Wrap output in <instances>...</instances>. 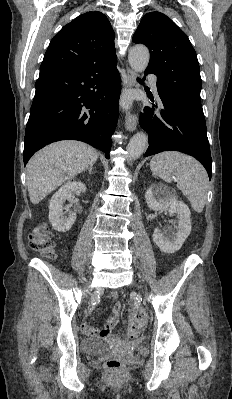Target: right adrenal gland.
Wrapping results in <instances>:
<instances>
[{"label": "right adrenal gland", "instance_id": "1", "mask_svg": "<svg viewBox=\"0 0 232 399\" xmlns=\"http://www.w3.org/2000/svg\"><path fill=\"white\" fill-rule=\"evenodd\" d=\"M93 166H94V164H91V166H89V168H87V170H84V172H89V174H92Z\"/></svg>", "mask_w": 232, "mask_h": 399}]
</instances>
